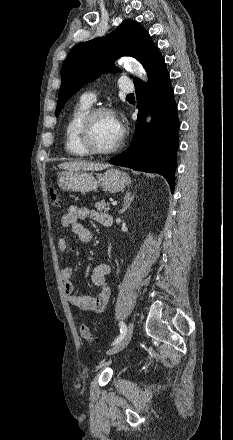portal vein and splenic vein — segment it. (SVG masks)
<instances>
[{"label": "portal vein and splenic vein", "mask_w": 233, "mask_h": 440, "mask_svg": "<svg viewBox=\"0 0 233 440\" xmlns=\"http://www.w3.org/2000/svg\"><path fill=\"white\" fill-rule=\"evenodd\" d=\"M112 205H113V206L117 205V202H116V201H113V202H112Z\"/></svg>", "instance_id": "obj_1"}]
</instances>
